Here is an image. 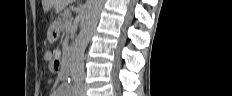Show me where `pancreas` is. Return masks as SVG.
<instances>
[{
  "label": "pancreas",
  "mask_w": 232,
  "mask_h": 96,
  "mask_svg": "<svg viewBox=\"0 0 232 96\" xmlns=\"http://www.w3.org/2000/svg\"><path fill=\"white\" fill-rule=\"evenodd\" d=\"M70 20H71V9L67 8L61 14L60 23H59L61 31L67 29L68 25L70 24Z\"/></svg>",
  "instance_id": "pancreas-1"
}]
</instances>
